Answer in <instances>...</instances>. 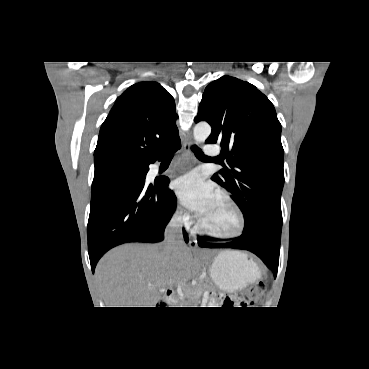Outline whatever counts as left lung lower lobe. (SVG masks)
Instances as JSON below:
<instances>
[{"label":"left lung lower lobe","mask_w":369,"mask_h":369,"mask_svg":"<svg viewBox=\"0 0 369 369\" xmlns=\"http://www.w3.org/2000/svg\"><path fill=\"white\" fill-rule=\"evenodd\" d=\"M282 223L264 221L257 228L228 243H209L199 240L206 248L244 249L256 254L277 275Z\"/></svg>","instance_id":"0a47b994"}]
</instances>
